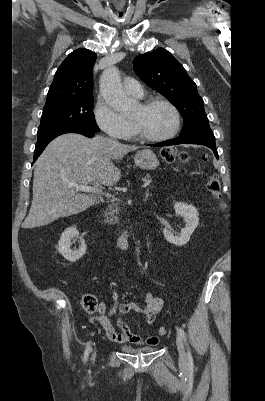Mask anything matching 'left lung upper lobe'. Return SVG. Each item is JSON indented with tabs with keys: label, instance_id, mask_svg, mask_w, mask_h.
Instances as JSON below:
<instances>
[{
	"label": "left lung upper lobe",
	"instance_id": "1",
	"mask_svg": "<svg viewBox=\"0 0 265 401\" xmlns=\"http://www.w3.org/2000/svg\"><path fill=\"white\" fill-rule=\"evenodd\" d=\"M133 64L141 80L165 96L183 116L184 127L180 135L209 127L204 102L195 82L171 53L158 48L137 56Z\"/></svg>",
	"mask_w": 265,
	"mask_h": 401
}]
</instances>
